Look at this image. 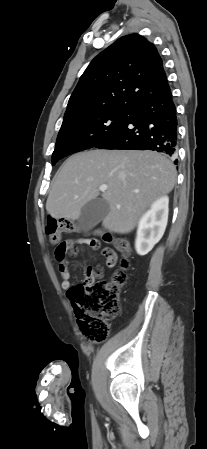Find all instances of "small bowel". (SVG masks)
<instances>
[{
	"mask_svg": "<svg viewBox=\"0 0 207 449\" xmlns=\"http://www.w3.org/2000/svg\"><path fill=\"white\" fill-rule=\"evenodd\" d=\"M77 242L83 243L84 240L78 239ZM113 255H114L113 257L115 259V262H116V254L114 253ZM108 267H112V266H108ZM59 271H60V275H61V279H62L61 286L63 289H68L71 285V276H70V272L67 268V265H65V266L59 265ZM95 276H96L95 270L93 268L89 267L86 271L85 280L91 281L95 278Z\"/></svg>",
	"mask_w": 207,
	"mask_h": 449,
	"instance_id": "1",
	"label": "small bowel"
}]
</instances>
